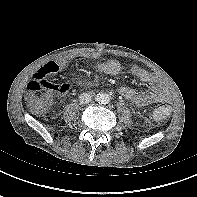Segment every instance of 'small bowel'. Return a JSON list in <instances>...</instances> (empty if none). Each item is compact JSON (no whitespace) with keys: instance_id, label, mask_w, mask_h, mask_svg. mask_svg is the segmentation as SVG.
<instances>
[{"instance_id":"obj_1","label":"small bowel","mask_w":197,"mask_h":197,"mask_svg":"<svg viewBox=\"0 0 197 197\" xmlns=\"http://www.w3.org/2000/svg\"><path fill=\"white\" fill-rule=\"evenodd\" d=\"M99 56L100 53L98 52L91 54V57L93 58H99ZM67 67L68 61H50L35 71L34 78H45L46 76L56 74ZM96 68L100 73L117 75L121 71V64L117 60L110 59L98 62ZM131 71L140 81L149 86V90L146 92H138L128 86L121 87L119 89V94L125 99L133 102L137 106H146L156 102L171 100L168 84L162 77L138 66H133Z\"/></svg>"}]
</instances>
